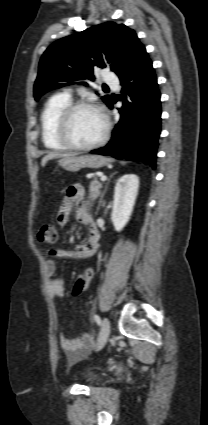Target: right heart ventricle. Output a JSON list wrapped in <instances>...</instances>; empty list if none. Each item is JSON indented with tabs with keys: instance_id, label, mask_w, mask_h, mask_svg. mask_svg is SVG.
Masks as SVG:
<instances>
[{
	"instance_id": "right-heart-ventricle-1",
	"label": "right heart ventricle",
	"mask_w": 208,
	"mask_h": 425,
	"mask_svg": "<svg viewBox=\"0 0 208 425\" xmlns=\"http://www.w3.org/2000/svg\"><path fill=\"white\" fill-rule=\"evenodd\" d=\"M71 103L67 93H58L46 102L40 118L41 136L44 146L52 151H65L68 148L57 137V123L61 112Z\"/></svg>"
}]
</instances>
